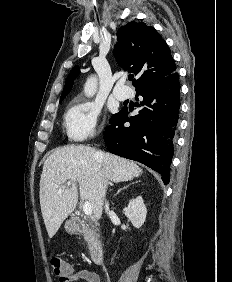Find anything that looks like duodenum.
I'll return each instance as SVG.
<instances>
[{
	"mask_svg": "<svg viewBox=\"0 0 232 282\" xmlns=\"http://www.w3.org/2000/svg\"><path fill=\"white\" fill-rule=\"evenodd\" d=\"M73 225L77 232L84 233L87 231L86 224L79 218H73ZM89 249L92 261L95 264L100 265L104 258V248L102 242L97 238L92 239Z\"/></svg>",
	"mask_w": 232,
	"mask_h": 282,
	"instance_id": "obj_1",
	"label": "duodenum"
}]
</instances>
